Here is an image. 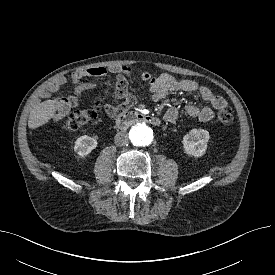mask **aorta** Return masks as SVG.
<instances>
[{
    "label": "aorta",
    "mask_w": 275,
    "mask_h": 275,
    "mask_svg": "<svg viewBox=\"0 0 275 275\" xmlns=\"http://www.w3.org/2000/svg\"><path fill=\"white\" fill-rule=\"evenodd\" d=\"M130 138L136 146H147L152 142L153 132L146 124L138 123L132 127Z\"/></svg>",
    "instance_id": "obj_1"
}]
</instances>
